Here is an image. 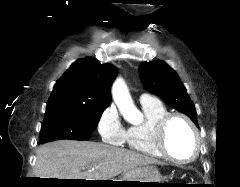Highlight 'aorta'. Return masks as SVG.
<instances>
[{"label": "aorta", "instance_id": "1", "mask_svg": "<svg viewBox=\"0 0 240 187\" xmlns=\"http://www.w3.org/2000/svg\"><path fill=\"white\" fill-rule=\"evenodd\" d=\"M112 95L118 108L128 119L134 121L140 117L132 103L127 87L121 79L115 81L112 87Z\"/></svg>", "mask_w": 240, "mask_h": 187}]
</instances>
